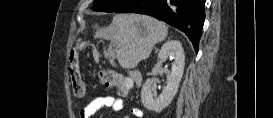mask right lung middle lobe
Here are the masks:
<instances>
[{
    "label": "right lung middle lobe",
    "mask_w": 273,
    "mask_h": 118,
    "mask_svg": "<svg viewBox=\"0 0 273 118\" xmlns=\"http://www.w3.org/2000/svg\"><path fill=\"white\" fill-rule=\"evenodd\" d=\"M129 0H95L92 9L101 12H116Z\"/></svg>",
    "instance_id": "dd1d6c3e"
}]
</instances>
